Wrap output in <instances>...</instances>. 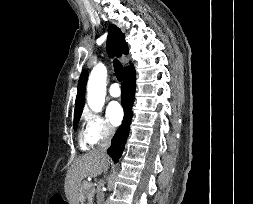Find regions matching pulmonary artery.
Here are the masks:
<instances>
[{
  "instance_id": "obj_1",
  "label": "pulmonary artery",
  "mask_w": 253,
  "mask_h": 204,
  "mask_svg": "<svg viewBox=\"0 0 253 204\" xmlns=\"http://www.w3.org/2000/svg\"><path fill=\"white\" fill-rule=\"evenodd\" d=\"M109 93L112 97H119L121 95L119 85L117 83H113L109 88Z\"/></svg>"
}]
</instances>
